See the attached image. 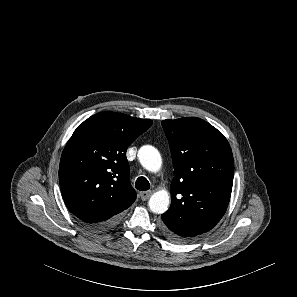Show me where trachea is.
Instances as JSON below:
<instances>
[{
    "instance_id": "trachea-1",
    "label": "trachea",
    "mask_w": 297,
    "mask_h": 297,
    "mask_svg": "<svg viewBox=\"0 0 297 297\" xmlns=\"http://www.w3.org/2000/svg\"><path fill=\"white\" fill-rule=\"evenodd\" d=\"M135 187L139 191H146L150 189L149 181L145 177H139L136 180Z\"/></svg>"
}]
</instances>
